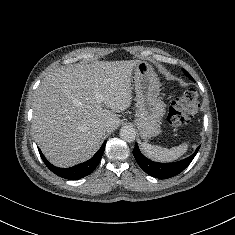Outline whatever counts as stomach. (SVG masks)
Instances as JSON below:
<instances>
[{"mask_svg":"<svg viewBox=\"0 0 235 235\" xmlns=\"http://www.w3.org/2000/svg\"><path fill=\"white\" fill-rule=\"evenodd\" d=\"M136 92L135 123L144 140L160 133L161 119L165 115L164 103L157 98L160 82L150 64L140 61L134 69Z\"/></svg>","mask_w":235,"mask_h":235,"instance_id":"stomach-1","label":"stomach"}]
</instances>
